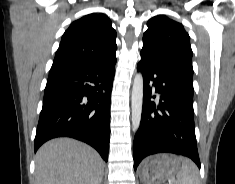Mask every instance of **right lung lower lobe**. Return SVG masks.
Wrapping results in <instances>:
<instances>
[{"label":"right lung lower lobe","mask_w":235,"mask_h":184,"mask_svg":"<svg viewBox=\"0 0 235 184\" xmlns=\"http://www.w3.org/2000/svg\"><path fill=\"white\" fill-rule=\"evenodd\" d=\"M115 63L51 67L37 126L35 152L52 138L72 137L91 145L108 161Z\"/></svg>","instance_id":"98d812e1"}]
</instances>
